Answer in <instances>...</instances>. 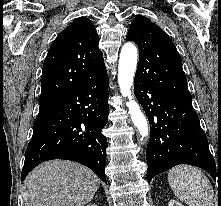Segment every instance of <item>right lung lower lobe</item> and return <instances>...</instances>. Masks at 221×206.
Masks as SVG:
<instances>
[{
  "label": "right lung lower lobe",
  "mask_w": 221,
  "mask_h": 206,
  "mask_svg": "<svg viewBox=\"0 0 221 206\" xmlns=\"http://www.w3.org/2000/svg\"><path fill=\"white\" fill-rule=\"evenodd\" d=\"M107 73L79 90L40 104L28 144L21 182L38 164L51 159L79 162L106 181V137L101 133L108 121Z\"/></svg>",
  "instance_id": "obj_1"
}]
</instances>
